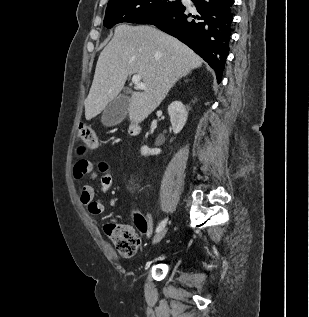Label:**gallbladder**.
<instances>
[{"label":"gallbladder","mask_w":309,"mask_h":317,"mask_svg":"<svg viewBox=\"0 0 309 317\" xmlns=\"http://www.w3.org/2000/svg\"><path fill=\"white\" fill-rule=\"evenodd\" d=\"M128 93L129 91L126 90L125 94L119 95L106 106L101 117L105 126H115L126 117L130 100Z\"/></svg>","instance_id":"1"}]
</instances>
